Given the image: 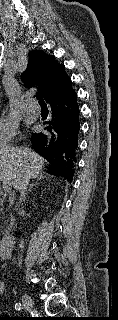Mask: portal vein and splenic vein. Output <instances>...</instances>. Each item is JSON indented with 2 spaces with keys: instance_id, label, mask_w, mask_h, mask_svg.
Segmentation results:
<instances>
[{
  "instance_id": "18ae733b",
  "label": "portal vein and splenic vein",
  "mask_w": 118,
  "mask_h": 320,
  "mask_svg": "<svg viewBox=\"0 0 118 320\" xmlns=\"http://www.w3.org/2000/svg\"><path fill=\"white\" fill-rule=\"evenodd\" d=\"M0 181L2 182V186L5 192H10L11 191V182L5 178H0Z\"/></svg>"
}]
</instances>
